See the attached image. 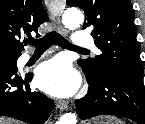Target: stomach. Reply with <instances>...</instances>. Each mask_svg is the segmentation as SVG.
Wrapping results in <instances>:
<instances>
[{
  "label": "stomach",
  "mask_w": 145,
  "mask_h": 124,
  "mask_svg": "<svg viewBox=\"0 0 145 124\" xmlns=\"http://www.w3.org/2000/svg\"><path fill=\"white\" fill-rule=\"evenodd\" d=\"M85 124H123L120 120L114 118V117H100L93 122L85 123Z\"/></svg>",
  "instance_id": "obj_1"
}]
</instances>
